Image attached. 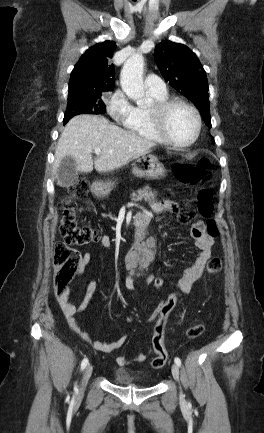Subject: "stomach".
Instances as JSON below:
<instances>
[{"mask_svg": "<svg viewBox=\"0 0 264 433\" xmlns=\"http://www.w3.org/2000/svg\"><path fill=\"white\" fill-rule=\"evenodd\" d=\"M132 173L139 178L161 179L165 177V167L158 158L151 154L142 155L133 164ZM115 182H97L95 192L106 195L114 187Z\"/></svg>", "mask_w": 264, "mask_h": 433, "instance_id": "1", "label": "stomach"}]
</instances>
